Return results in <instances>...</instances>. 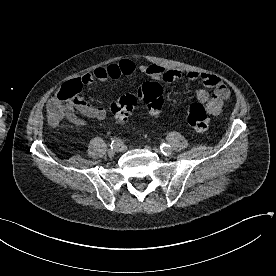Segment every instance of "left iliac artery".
Masks as SVG:
<instances>
[{
  "instance_id": "left-iliac-artery-1",
  "label": "left iliac artery",
  "mask_w": 276,
  "mask_h": 276,
  "mask_svg": "<svg viewBox=\"0 0 276 276\" xmlns=\"http://www.w3.org/2000/svg\"><path fill=\"white\" fill-rule=\"evenodd\" d=\"M160 150L162 151V153H167L172 150V147L169 144L163 143L160 146Z\"/></svg>"
}]
</instances>
